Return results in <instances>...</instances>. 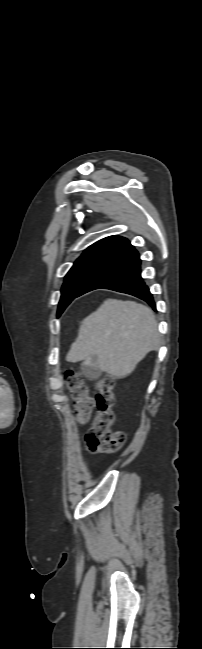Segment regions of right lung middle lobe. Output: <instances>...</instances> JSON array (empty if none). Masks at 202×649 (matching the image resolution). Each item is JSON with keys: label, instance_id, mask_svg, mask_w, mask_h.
I'll use <instances>...</instances> for the list:
<instances>
[{"label": "right lung middle lobe", "instance_id": "dd1d6c3e", "mask_svg": "<svg viewBox=\"0 0 202 649\" xmlns=\"http://www.w3.org/2000/svg\"><path fill=\"white\" fill-rule=\"evenodd\" d=\"M115 257L112 254L93 253L81 255L76 260L67 273L61 289L62 295L58 307V317L70 302L79 295L85 284Z\"/></svg>", "mask_w": 202, "mask_h": 649}]
</instances>
